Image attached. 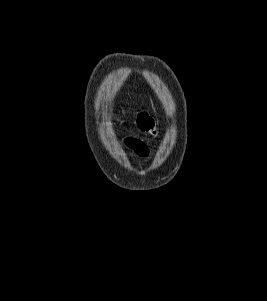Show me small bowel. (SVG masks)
Wrapping results in <instances>:
<instances>
[{
  "label": "small bowel",
  "instance_id": "obj_1",
  "mask_svg": "<svg viewBox=\"0 0 267 301\" xmlns=\"http://www.w3.org/2000/svg\"><path fill=\"white\" fill-rule=\"evenodd\" d=\"M137 127L139 131L143 133H148L150 135H155L156 133V127L154 120L152 117L145 113H139L137 115ZM125 146L131 150L134 154L141 156V157H147L150 154V149L147 143L137 136L132 137H126L124 139Z\"/></svg>",
  "mask_w": 267,
  "mask_h": 301
}]
</instances>
